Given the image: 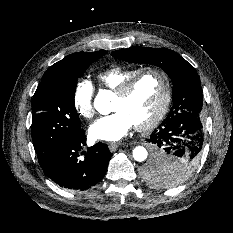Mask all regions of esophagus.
<instances>
[{
	"label": "esophagus",
	"mask_w": 233,
	"mask_h": 233,
	"mask_svg": "<svg viewBox=\"0 0 233 233\" xmlns=\"http://www.w3.org/2000/svg\"><path fill=\"white\" fill-rule=\"evenodd\" d=\"M119 145H120L119 143L111 142V143H109L108 147H109V150L111 152H114V151L117 150V148L119 147Z\"/></svg>",
	"instance_id": "obj_1"
}]
</instances>
